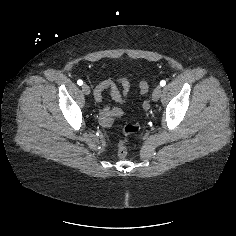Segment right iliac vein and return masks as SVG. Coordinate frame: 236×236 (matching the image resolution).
Segmentation results:
<instances>
[{
  "mask_svg": "<svg viewBox=\"0 0 236 236\" xmlns=\"http://www.w3.org/2000/svg\"><path fill=\"white\" fill-rule=\"evenodd\" d=\"M82 91L85 95H89L91 92L90 87L87 84L82 85Z\"/></svg>",
  "mask_w": 236,
  "mask_h": 236,
  "instance_id": "obj_1",
  "label": "right iliac vein"
}]
</instances>
